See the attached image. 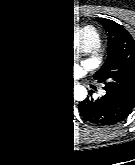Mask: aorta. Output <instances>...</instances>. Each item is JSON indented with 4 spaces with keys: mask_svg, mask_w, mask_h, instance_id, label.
<instances>
[{
    "mask_svg": "<svg viewBox=\"0 0 135 165\" xmlns=\"http://www.w3.org/2000/svg\"><path fill=\"white\" fill-rule=\"evenodd\" d=\"M87 95V91L85 89V87H83L82 85H76L73 88V97L76 100H83L85 99Z\"/></svg>",
    "mask_w": 135,
    "mask_h": 165,
    "instance_id": "obj_1",
    "label": "aorta"
}]
</instances>
